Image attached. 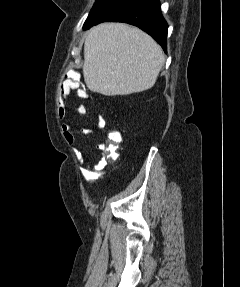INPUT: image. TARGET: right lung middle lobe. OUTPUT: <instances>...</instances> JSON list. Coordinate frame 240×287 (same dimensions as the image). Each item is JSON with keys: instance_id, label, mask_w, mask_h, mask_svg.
Masks as SVG:
<instances>
[{"instance_id": "dd1d6c3e", "label": "right lung middle lobe", "mask_w": 240, "mask_h": 287, "mask_svg": "<svg viewBox=\"0 0 240 287\" xmlns=\"http://www.w3.org/2000/svg\"><path fill=\"white\" fill-rule=\"evenodd\" d=\"M110 0H96L92 10L89 13L87 20L84 23V28L95 19V17L101 12V10L108 4Z\"/></svg>"}]
</instances>
